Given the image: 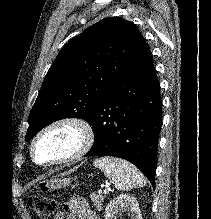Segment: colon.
Listing matches in <instances>:
<instances>
[{"instance_id":"obj_1","label":"colon","mask_w":211,"mask_h":219,"mask_svg":"<svg viewBox=\"0 0 211 219\" xmlns=\"http://www.w3.org/2000/svg\"><path fill=\"white\" fill-rule=\"evenodd\" d=\"M29 206L39 219H49L56 211L58 204L54 198L37 195L30 198Z\"/></svg>"}]
</instances>
